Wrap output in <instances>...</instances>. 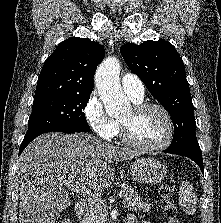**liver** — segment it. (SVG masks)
I'll return each mask as SVG.
<instances>
[{
	"label": "liver",
	"mask_w": 221,
	"mask_h": 223,
	"mask_svg": "<svg viewBox=\"0 0 221 223\" xmlns=\"http://www.w3.org/2000/svg\"><path fill=\"white\" fill-rule=\"evenodd\" d=\"M136 155V150L114 146L89 134L52 132L37 137L17 161L19 222L56 223L71 204L64 184L102 191L114 180L111 164Z\"/></svg>",
	"instance_id": "obj_1"
}]
</instances>
